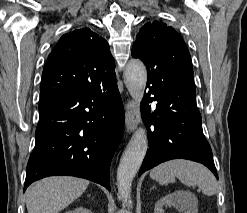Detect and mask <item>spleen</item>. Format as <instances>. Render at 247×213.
<instances>
[{
	"instance_id": "1",
	"label": "spleen",
	"mask_w": 247,
	"mask_h": 213,
	"mask_svg": "<svg viewBox=\"0 0 247 213\" xmlns=\"http://www.w3.org/2000/svg\"><path fill=\"white\" fill-rule=\"evenodd\" d=\"M150 177L162 185L178 178L187 186H198L207 196H213L218 191L214 175L203 165L188 160L164 162L151 170Z\"/></svg>"
}]
</instances>
